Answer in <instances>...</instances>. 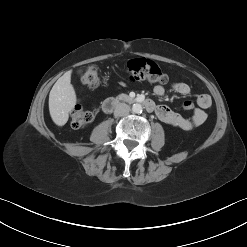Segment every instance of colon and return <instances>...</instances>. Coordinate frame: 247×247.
Wrapping results in <instances>:
<instances>
[{"instance_id":"1","label":"colon","mask_w":247,"mask_h":247,"mask_svg":"<svg viewBox=\"0 0 247 247\" xmlns=\"http://www.w3.org/2000/svg\"><path fill=\"white\" fill-rule=\"evenodd\" d=\"M126 72L131 81L148 80L153 83L165 84L168 76L161 70L159 65L145 58L131 59L126 64ZM81 83L89 88H95L100 84L99 70L96 66L88 67L81 75ZM183 109L190 111L194 109L192 101H185ZM94 112L85 110L77 105L70 116V123L74 128H82L92 122Z\"/></svg>"}]
</instances>
